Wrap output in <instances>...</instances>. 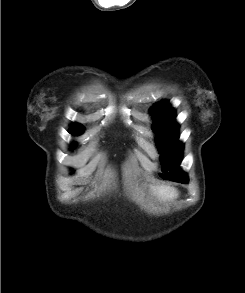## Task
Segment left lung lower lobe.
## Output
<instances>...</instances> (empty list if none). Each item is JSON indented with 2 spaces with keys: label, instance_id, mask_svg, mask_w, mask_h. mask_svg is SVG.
<instances>
[{
  "label": "left lung lower lobe",
  "instance_id": "1",
  "mask_svg": "<svg viewBox=\"0 0 245 293\" xmlns=\"http://www.w3.org/2000/svg\"><path fill=\"white\" fill-rule=\"evenodd\" d=\"M179 181H180V183L187 184L188 183V178L180 179Z\"/></svg>",
  "mask_w": 245,
  "mask_h": 293
}]
</instances>
